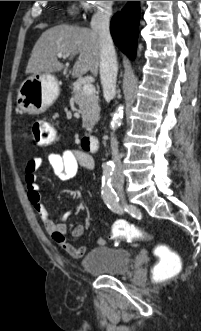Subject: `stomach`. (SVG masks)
<instances>
[{
	"mask_svg": "<svg viewBox=\"0 0 201 331\" xmlns=\"http://www.w3.org/2000/svg\"><path fill=\"white\" fill-rule=\"evenodd\" d=\"M60 87L51 74H33L18 89L17 105L29 115L45 112L58 98Z\"/></svg>",
	"mask_w": 201,
	"mask_h": 331,
	"instance_id": "1",
	"label": "stomach"
}]
</instances>
